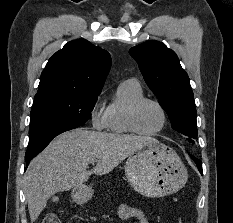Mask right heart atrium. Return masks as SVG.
I'll return each instance as SVG.
<instances>
[{"label":"right heart atrium","instance_id":"d8ad5b80","mask_svg":"<svg viewBox=\"0 0 233 223\" xmlns=\"http://www.w3.org/2000/svg\"><path fill=\"white\" fill-rule=\"evenodd\" d=\"M90 119L95 129L102 130L106 127V111L100 109L97 104H94L90 110Z\"/></svg>","mask_w":233,"mask_h":223}]
</instances>
